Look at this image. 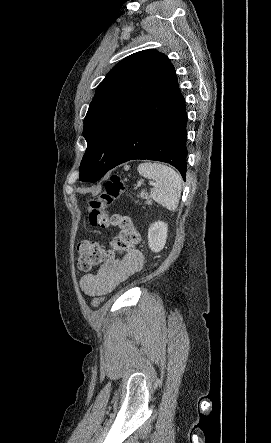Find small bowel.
I'll return each instance as SVG.
<instances>
[{
	"label": "small bowel",
	"instance_id": "obj_1",
	"mask_svg": "<svg viewBox=\"0 0 271 443\" xmlns=\"http://www.w3.org/2000/svg\"><path fill=\"white\" fill-rule=\"evenodd\" d=\"M143 262L142 253L135 248L125 252L120 258L112 255L96 273L84 275L80 280V287L90 296L106 295L138 273Z\"/></svg>",
	"mask_w": 271,
	"mask_h": 443
}]
</instances>
